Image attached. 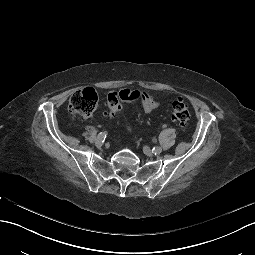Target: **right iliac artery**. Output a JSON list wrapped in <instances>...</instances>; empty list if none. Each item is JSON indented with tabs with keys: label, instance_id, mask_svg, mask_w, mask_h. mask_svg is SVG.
Returning <instances> with one entry per match:
<instances>
[{
	"label": "right iliac artery",
	"instance_id": "1",
	"mask_svg": "<svg viewBox=\"0 0 255 255\" xmlns=\"http://www.w3.org/2000/svg\"><path fill=\"white\" fill-rule=\"evenodd\" d=\"M106 136H107L106 132H100V133L98 134V138H99L100 140H105Z\"/></svg>",
	"mask_w": 255,
	"mask_h": 255
}]
</instances>
